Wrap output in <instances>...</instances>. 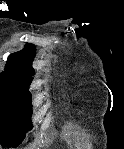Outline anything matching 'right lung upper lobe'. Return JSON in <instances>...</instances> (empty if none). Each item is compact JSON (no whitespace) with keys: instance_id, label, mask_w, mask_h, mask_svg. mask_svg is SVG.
<instances>
[{"instance_id":"cb5924a9","label":"right lung upper lobe","mask_w":124,"mask_h":149,"mask_svg":"<svg viewBox=\"0 0 124 149\" xmlns=\"http://www.w3.org/2000/svg\"><path fill=\"white\" fill-rule=\"evenodd\" d=\"M35 50V46L28 43L23 50L11 54L0 81L20 89H28L34 75L32 61L35 57Z\"/></svg>"}]
</instances>
